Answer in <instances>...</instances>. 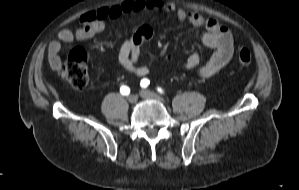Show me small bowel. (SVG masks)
I'll use <instances>...</instances> for the list:
<instances>
[{"mask_svg": "<svg viewBox=\"0 0 299 190\" xmlns=\"http://www.w3.org/2000/svg\"><path fill=\"white\" fill-rule=\"evenodd\" d=\"M161 9L166 12H175L180 21L187 20L194 27L206 28V32L200 36V40L212 53L208 61L199 68L201 77L210 78L229 63L234 52L233 36L230 30L219 24L214 17H204L197 13L187 12L177 8L171 2L164 4L159 0H127L121 4L86 11L80 17L81 27L74 30L62 29L58 33L57 39L52 41L48 48L51 67L53 69L60 67L61 60L58 54L61 51L62 43L75 39H91L104 31L107 20L118 18L124 14L141 11L156 12ZM151 37V27L143 24L134 34L123 40L118 52V61L127 72L138 77L146 76L149 73L148 66L139 63V57L142 46L150 41ZM199 64V53L192 52L183 64V68L193 70Z\"/></svg>", "mask_w": 299, "mask_h": 190, "instance_id": "c3829d8e", "label": "small bowel"}]
</instances>
